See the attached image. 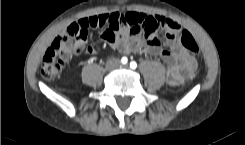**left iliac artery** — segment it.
<instances>
[{"mask_svg": "<svg viewBox=\"0 0 245 145\" xmlns=\"http://www.w3.org/2000/svg\"><path fill=\"white\" fill-rule=\"evenodd\" d=\"M130 67H131L132 69H136V67H137L136 62L132 61V62L130 63Z\"/></svg>", "mask_w": 245, "mask_h": 145, "instance_id": "left-iliac-artery-1", "label": "left iliac artery"}]
</instances>
